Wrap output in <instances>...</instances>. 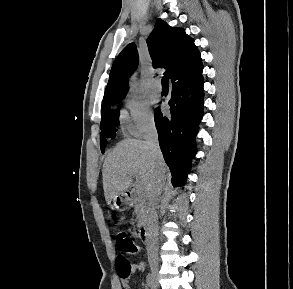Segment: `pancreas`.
Segmentation results:
<instances>
[{
  "instance_id": "1",
  "label": "pancreas",
  "mask_w": 293,
  "mask_h": 289,
  "mask_svg": "<svg viewBox=\"0 0 293 289\" xmlns=\"http://www.w3.org/2000/svg\"><path fill=\"white\" fill-rule=\"evenodd\" d=\"M132 201L134 203V211L137 216V223L140 227L144 224L146 218V202L140 195L134 196Z\"/></svg>"
}]
</instances>
